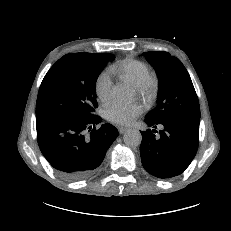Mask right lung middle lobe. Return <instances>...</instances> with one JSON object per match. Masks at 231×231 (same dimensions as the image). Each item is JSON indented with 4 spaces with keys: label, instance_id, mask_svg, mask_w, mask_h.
I'll list each match as a JSON object with an SVG mask.
<instances>
[{
    "label": "right lung middle lobe",
    "instance_id": "dd1d6c3e",
    "mask_svg": "<svg viewBox=\"0 0 231 231\" xmlns=\"http://www.w3.org/2000/svg\"><path fill=\"white\" fill-rule=\"evenodd\" d=\"M112 54L73 53L59 59L45 75L37 97L36 116L88 120L95 115V83Z\"/></svg>",
    "mask_w": 231,
    "mask_h": 231
}]
</instances>
